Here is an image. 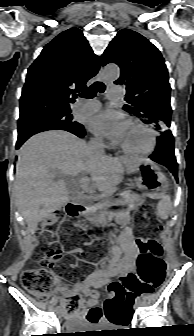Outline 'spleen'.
<instances>
[{
    "mask_svg": "<svg viewBox=\"0 0 194 336\" xmlns=\"http://www.w3.org/2000/svg\"><path fill=\"white\" fill-rule=\"evenodd\" d=\"M172 208V202L169 195L163 196L158 203V215L162 219H167Z\"/></svg>",
    "mask_w": 194,
    "mask_h": 336,
    "instance_id": "obj_1",
    "label": "spleen"
}]
</instances>
